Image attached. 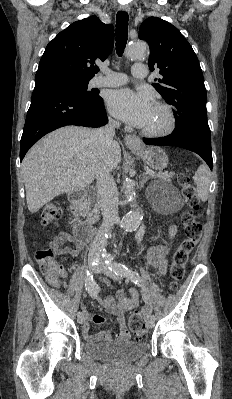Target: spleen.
I'll use <instances>...</instances> for the list:
<instances>
[{
	"mask_svg": "<svg viewBox=\"0 0 232 399\" xmlns=\"http://www.w3.org/2000/svg\"><path fill=\"white\" fill-rule=\"evenodd\" d=\"M194 182L197 186L198 198L202 201L208 200L209 186L211 184V172L208 166H199L195 176H193Z\"/></svg>",
	"mask_w": 232,
	"mask_h": 399,
	"instance_id": "spleen-1",
	"label": "spleen"
}]
</instances>
